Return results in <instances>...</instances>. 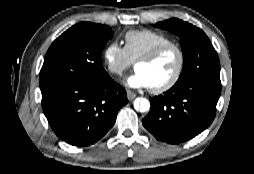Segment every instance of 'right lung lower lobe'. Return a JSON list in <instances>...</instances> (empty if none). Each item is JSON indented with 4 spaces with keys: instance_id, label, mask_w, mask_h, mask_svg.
<instances>
[{
    "instance_id": "obj_1",
    "label": "right lung lower lobe",
    "mask_w": 254,
    "mask_h": 174,
    "mask_svg": "<svg viewBox=\"0 0 254 174\" xmlns=\"http://www.w3.org/2000/svg\"><path fill=\"white\" fill-rule=\"evenodd\" d=\"M126 91L109 75L95 82L61 85L42 92L44 114L54 133L73 146H89L114 125Z\"/></svg>"
}]
</instances>
